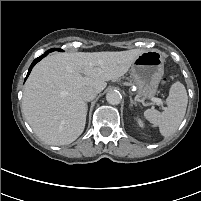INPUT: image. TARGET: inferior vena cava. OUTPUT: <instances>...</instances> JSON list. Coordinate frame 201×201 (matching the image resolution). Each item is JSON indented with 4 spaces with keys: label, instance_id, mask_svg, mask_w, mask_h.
Returning <instances> with one entry per match:
<instances>
[{
    "label": "inferior vena cava",
    "instance_id": "obj_1",
    "mask_svg": "<svg viewBox=\"0 0 201 201\" xmlns=\"http://www.w3.org/2000/svg\"><path fill=\"white\" fill-rule=\"evenodd\" d=\"M80 95L84 101H91L96 97L97 93L92 88H84L81 90Z\"/></svg>",
    "mask_w": 201,
    "mask_h": 201
}]
</instances>
